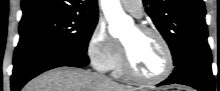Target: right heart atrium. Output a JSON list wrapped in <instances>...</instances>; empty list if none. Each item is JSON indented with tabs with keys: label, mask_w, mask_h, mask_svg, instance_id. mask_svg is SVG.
Instances as JSON below:
<instances>
[{
	"label": "right heart atrium",
	"mask_w": 220,
	"mask_h": 91,
	"mask_svg": "<svg viewBox=\"0 0 220 91\" xmlns=\"http://www.w3.org/2000/svg\"><path fill=\"white\" fill-rule=\"evenodd\" d=\"M86 52L97 70L109 71L121 56V46L119 41L109 34L105 23L99 21L87 39Z\"/></svg>",
	"instance_id": "right-heart-atrium-1"
}]
</instances>
